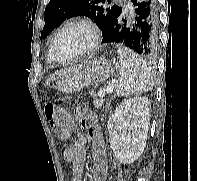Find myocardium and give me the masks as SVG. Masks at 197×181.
Masks as SVG:
<instances>
[{"mask_svg": "<svg viewBox=\"0 0 197 181\" xmlns=\"http://www.w3.org/2000/svg\"><path fill=\"white\" fill-rule=\"evenodd\" d=\"M75 25L84 26L85 28H87L90 31L91 37H92L91 43H90L89 47L86 50H84L83 52L77 54L76 56H74L70 59L62 60L59 58V56L57 54L58 39L65 29H67L70 26H75ZM100 39H101L100 31H99L97 25L93 21L88 20V19H83V18L68 21L58 29V31L56 32V34L53 38V41H52L53 58H54L55 62H57L59 64H70V63H73L77 60L88 57V56L92 55L97 50V48L100 44Z\"/></svg>", "mask_w": 197, "mask_h": 181, "instance_id": "obj_1", "label": "myocardium"}]
</instances>
